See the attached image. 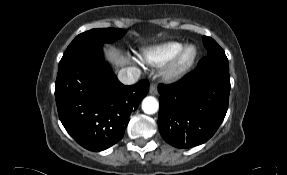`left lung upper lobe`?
Returning a JSON list of instances; mask_svg holds the SVG:
<instances>
[{
    "label": "left lung upper lobe",
    "mask_w": 287,
    "mask_h": 175,
    "mask_svg": "<svg viewBox=\"0 0 287 175\" xmlns=\"http://www.w3.org/2000/svg\"><path fill=\"white\" fill-rule=\"evenodd\" d=\"M203 43L208 50L207 57H204L197 65V72L221 71L229 74L228 59L224 50L211 37H203Z\"/></svg>",
    "instance_id": "obj_1"
}]
</instances>
